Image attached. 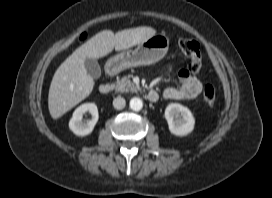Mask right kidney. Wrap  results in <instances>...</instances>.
I'll return each instance as SVG.
<instances>
[{"label": "right kidney", "mask_w": 272, "mask_h": 198, "mask_svg": "<svg viewBox=\"0 0 272 198\" xmlns=\"http://www.w3.org/2000/svg\"><path fill=\"white\" fill-rule=\"evenodd\" d=\"M86 113L92 115V118L89 119L87 123L82 121L83 115ZM98 118L99 115L96 104L84 103L73 112L72 118L69 121V128L77 136L89 135L93 131Z\"/></svg>", "instance_id": "obj_1"}]
</instances>
